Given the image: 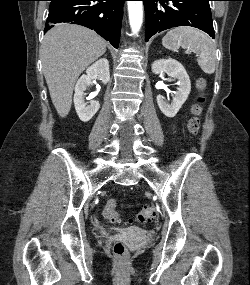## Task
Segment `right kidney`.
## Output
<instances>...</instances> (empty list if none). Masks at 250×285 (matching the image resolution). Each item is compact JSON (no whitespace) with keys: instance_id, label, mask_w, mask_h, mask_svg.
Segmentation results:
<instances>
[{"instance_id":"obj_1","label":"right kidney","mask_w":250,"mask_h":285,"mask_svg":"<svg viewBox=\"0 0 250 285\" xmlns=\"http://www.w3.org/2000/svg\"><path fill=\"white\" fill-rule=\"evenodd\" d=\"M93 79H99L103 84L110 81L109 62L102 58L96 61L86 70V75H82L76 83L74 94V105L76 112L83 122H88L99 110L98 101L91 100L89 105L85 102V91L91 85Z\"/></svg>"}]
</instances>
